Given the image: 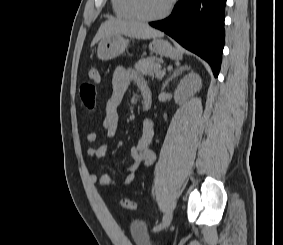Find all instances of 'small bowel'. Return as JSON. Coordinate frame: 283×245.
I'll return each instance as SVG.
<instances>
[{
	"label": "small bowel",
	"instance_id": "1",
	"mask_svg": "<svg viewBox=\"0 0 283 245\" xmlns=\"http://www.w3.org/2000/svg\"><path fill=\"white\" fill-rule=\"evenodd\" d=\"M132 82L138 85L143 97L146 95L152 97L150 88L137 71L128 67H117L112 76V95L106 103V115L103 120V128L105 130L104 138H111L116 134L119 125L118 109ZM97 83L85 81L81 84L79 89L81 102L89 110H92L96 104L95 85ZM154 132L153 121L146 118L143 122L142 134L139 141L130 149L132 164L125 171L123 178L111 177L106 174L98 176L91 171L88 173L89 181L101 186L128 185L133 182L136 177V171L140 166H149L155 161L156 156L152 150ZM99 140L100 137L94 132L87 135V141L89 143L96 144ZM106 152V144H100L97 147L87 149V155L95 159L102 158Z\"/></svg>",
	"mask_w": 283,
	"mask_h": 245
}]
</instances>
